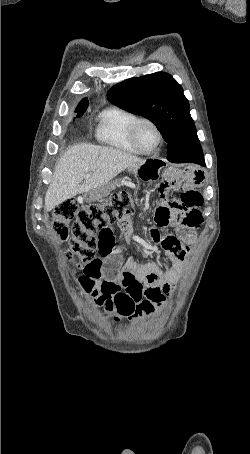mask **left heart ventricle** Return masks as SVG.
Instances as JSON below:
<instances>
[{
    "mask_svg": "<svg viewBox=\"0 0 250 454\" xmlns=\"http://www.w3.org/2000/svg\"><path fill=\"white\" fill-rule=\"evenodd\" d=\"M138 139L145 149L150 150L157 143V134L149 124H141L138 129Z\"/></svg>",
    "mask_w": 250,
    "mask_h": 454,
    "instance_id": "obj_1",
    "label": "left heart ventricle"
}]
</instances>
